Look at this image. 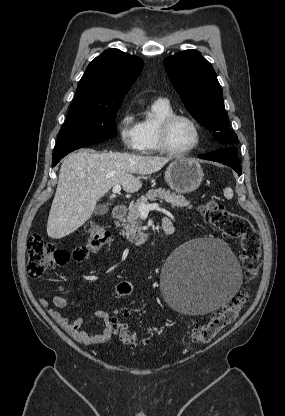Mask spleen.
<instances>
[{"mask_svg":"<svg viewBox=\"0 0 285 416\" xmlns=\"http://www.w3.org/2000/svg\"><path fill=\"white\" fill-rule=\"evenodd\" d=\"M224 196H225V198H227V200H232V198L234 196L232 188H225Z\"/></svg>","mask_w":285,"mask_h":416,"instance_id":"spleen-1","label":"spleen"}]
</instances>
